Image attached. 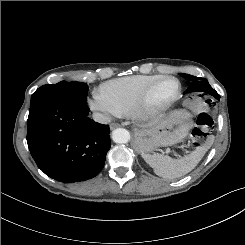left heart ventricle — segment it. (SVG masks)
I'll list each match as a JSON object with an SVG mask.
<instances>
[{"label": "left heart ventricle", "instance_id": "b2bd125f", "mask_svg": "<svg viewBox=\"0 0 245 245\" xmlns=\"http://www.w3.org/2000/svg\"><path fill=\"white\" fill-rule=\"evenodd\" d=\"M177 83L175 81H168L164 83L158 90L155 101L161 103L168 99L176 90Z\"/></svg>", "mask_w": 245, "mask_h": 245}]
</instances>
